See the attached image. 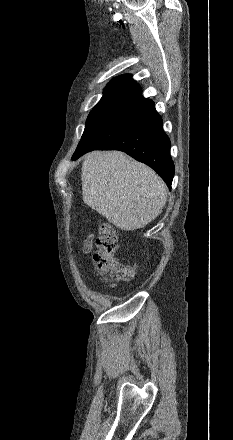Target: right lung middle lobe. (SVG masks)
<instances>
[{
  "label": "right lung middle lobe",
  "mask_w": 233,
  "mask_h": 440,
  "mask_svg": "<svg viewBox=\"0 0 233 440\" xmlns=\"http://www.w3.org/2000/svg\"><path fill=\"white\" fill-rule=\"evenodd\" d=\"M123 107L124 105L116 103H98L88 116L82 139L86 138L89 134L99 128Z\"/></svg>",
  "instance_id": "1"
}]
</instances>
